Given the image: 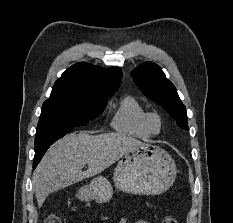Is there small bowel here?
<instances>
[{
  "instance_id": "1",
  "label": "small bowel",
  "mask_w": 233,
  "mask_h": 223,
  "mask_svg": "<svg viewBox=\"0 0 233 223\" xmlns=\"http://www.w3.org/2000/svg\"><path fill=\"white\" fill-rule=\"evenodd\" d=\"M118 223H128V219L126 217H120ZM136 223H147V221L143 219H139L136 221Z\"/></svg>"
}]
</instances>
